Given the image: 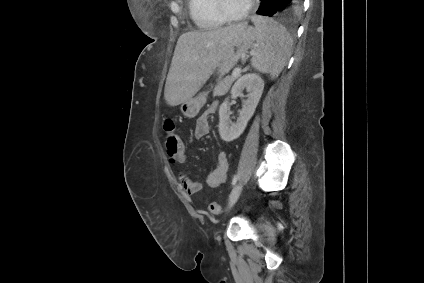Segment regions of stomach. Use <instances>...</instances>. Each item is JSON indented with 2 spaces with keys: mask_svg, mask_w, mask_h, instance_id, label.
<instances>
[{
  "mask_svg": "<svg viewBox=\"0 0 424 283\" xmlns=\"http://www.w3.org/2000/svg\"><path fill=\"white\" fill-rule=\"evenodd\" d=\"M256 29L246 26L230 43L225 55L217 65V72L220 76L225 75L235 67L239 59L245 55L248 49L256 40ZM208 92L200 94L198 97H191L181 104V111L186 117H195L203 105L206 103Z\"/></svg>",
  "mask_w": 424,
  "mask_h": 283,
  "instance_id": "stomach-1",
  "label": "stomach"
}]
</instances>
